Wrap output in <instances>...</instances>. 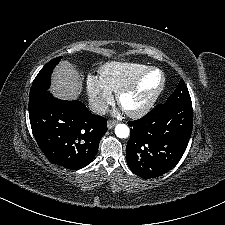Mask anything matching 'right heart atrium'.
<instances>
[{"instance_id":"obj_1","label":"right heart atrium","mask_w":225,"mask_h":225,"mask_svg":"<svg viewBox=\"0 0 225 225\" xmlns=\"http://www.w3.org/2000/svg\"><path fill=\"white\" fill-rule=\"evenodd\" d=\"M85 86L90 100L99 109L109 103L113 98L111 90L104 84L101 78L88 75Z\"/></svg>"}]
</instances>
